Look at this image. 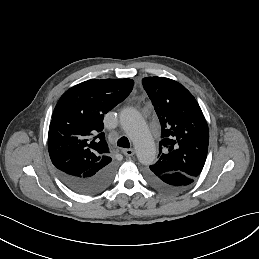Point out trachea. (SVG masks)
Segmentation results:
<instances>
[{
  "mask_svg": "<svg viewBox=\"0 0 259 259\" xmlns=\"http://www.w3.org/2000/svg\"><path fill=\"white\" fill-rule=\"evenodd\" d=\"M117 145H118L119 147H122V148H129V147H130L129 140H128L126 137H121V138L118 140Z\"/></svg>",
  "mask_w": 259,
  "mask_h": 259,
  "instance_id": "3493384b",
  "label": "trachea"
}]
</instances>
